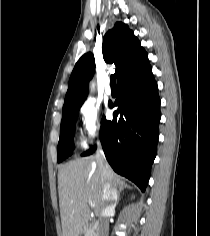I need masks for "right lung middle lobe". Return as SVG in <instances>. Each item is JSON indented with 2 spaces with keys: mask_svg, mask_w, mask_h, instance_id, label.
<instances>
[{
  "mask_svg": "<svg viewBox=\"0 0 210 236\" xmlns=\"http://www.w3.org/2000/svg\"><path fill=\"white\" fill-rule=\"evenodd\" d=\"M80 108L62 113L60 139L58 143V162L63 161L73 152L74 131L77 114Z\"/></svg>",
  "mask_w": 210,
  "mask_h": 236,
  "instance_id": "dd1d6c3e",
  "label": "right lung middle lobe"
}]
</instances>
